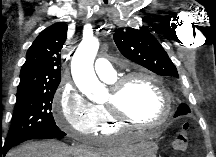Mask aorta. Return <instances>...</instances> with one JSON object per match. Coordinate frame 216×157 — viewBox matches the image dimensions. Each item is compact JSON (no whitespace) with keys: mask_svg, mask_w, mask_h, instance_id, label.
<instances>
[{"mask_svg":"<svg viewBox=\"0 0 216 157\" xmlns=\"http://www.w3.org/2000/svg\"><path fill=\"white\" fill-rule=\"evenodd\" d=\"M98 49L99 42L96 38L83 39L71 62L72 77L76 86L94 102L99 101L106 94L105 87L99 82L93 68Z\"/></svg>","mask_w":216,"mask_h":157,"instance_id":"762f6f07","label":"aorta"}]
</instances>
